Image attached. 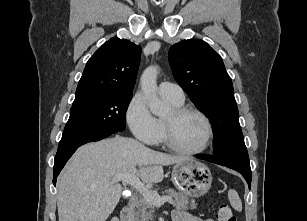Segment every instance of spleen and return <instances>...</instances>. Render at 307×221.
<instances>
[{
    "mask_svg": "<svg viewBox=\"0 0 307 221\" xmlns=\"http://www.w3.org/2000/svg\"><path fill=\"white\" fill-rule=\"evenodd\" d=\"M228 199H229L231 206L235 210H237L239 212L242 211V202H241V199H240L238 193L236 192V190L230 189L228 191Z\"/></svg>",
    "mask_w": 307,
    "mask_h": 221,
    "instance_id": "obj_1",
    "label": "spleen"
}]
</instances>
